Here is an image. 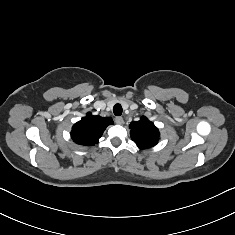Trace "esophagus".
Wrapping results in <instances>:
<instances>
[{"mask_svg":"<svg viewBox=\"0 0 235 235\" xmlns=\"http://www.w3.org/2000/svg\"><path fill=\"white\" fill-rule=\"evenodd\" d=\"M123 122H124V120H123L122 117L117 116V117L115 118V123H116V124L122 125Z\"/></svg>","mask_w":235,"mask_h":235,"instance_id":"1","label":"esophagus"}]
</instances>
